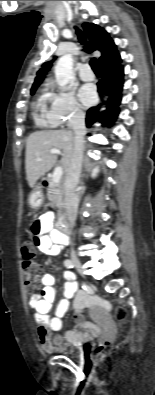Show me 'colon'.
<instances>
[{
    "instance_id": "5ec220e1",
    "label": "colon",
    "mask_w": 155,
    "mask_h": 395,
    "mask_svg": "<svg viewBox=\"0 0 155 395\" xmlns=\"http://www.w3.org/2000/svg\"><path fill=\"white\" fill-rule=\"evenodd\" d=\"M33 242H26L22 248L23 255V277L27 291L34 293L40 288L42 269L36 260V249ZM117 317L124 320L126 311L123 308L117 310ZM108 342H103L99 346V351L104 350L108 346Z\"/></svg>"
}]
</instances>
